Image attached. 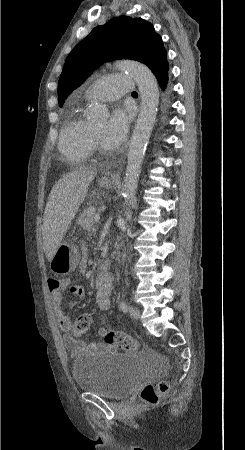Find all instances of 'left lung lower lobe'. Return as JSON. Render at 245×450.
I'll return each mask as SVG.
<instances>
[{
  "instance_id": "obj_1",
  "label": "left lung lower lobe",
  "mask_w": 245,
  "mask_h": 450,
  "mask_svg": "<svg viewBox=\"0 0 245 450\" xmlns=\"http://www.w3.org/2000/svg\"><path fill=\"white\" fill-rule=\"evenodd\" d=\"M154 75L156 76L160 86L162 88L166 87L168 81V62L165 61L161 65H159L154 71Z\"/></svg>"
}]
</instances>
